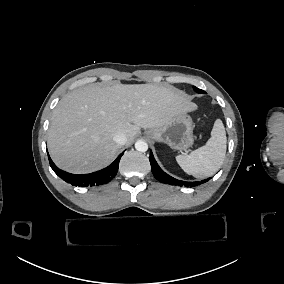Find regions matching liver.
Returning <instances> with one entry per match:
<instances>
[{
  "instance_id": "liver-1",
  "label": "liver",
  "mask_w": 284,
  "mask_h": 284,
  "mask_svg": "<svg viewBox=\"0 0 284 284\" xmlns=\"http://www.w3.org/2000/svg\"><path fill=\"white\" fill-rule=\"evenodd\" d=\"M198 106L185 94L151 84L88 85L60 100L53 111L48 147L55 163L70 172L87 173L109 164L121 148L113 137L122 132L126 144L140 128L160 127Z\"/></svg>"
}]
</instances>
